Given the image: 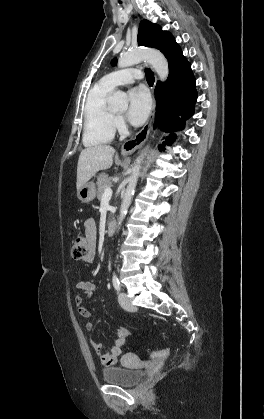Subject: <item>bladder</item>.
<instances>
[{"label": "bladder", "mask_w": 264, "mask_h": 419, "mask_svg": "<svg viewBox=\"0 0 264 419\" xmlns=\"http://www.w3.org/2000/svg\"><path fill=\"white\" fill-rule=\"evenodd\" d=\"M102 376L108 384L133 387L144 378L145 372L139 368L121 365L106 367L103 369Z\"/></svg>", "instance_id": "31cf9c89"}]
</instances>
